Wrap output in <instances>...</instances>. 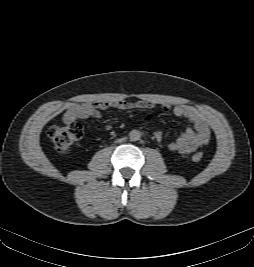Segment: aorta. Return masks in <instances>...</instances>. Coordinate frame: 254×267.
<instances>
[{"instance_id": "762f6f07", "label": "aorta", "mask_w": 254, "mask_h": 267, "mask_svg": "<svg viewBox=\"0 0 254 267\" xmlns=\"http://www.w3.org/2000/svg\"><path fill=\"white\" fill-rule=\"evenodd\" d=\"M129 137H130L131 141H138L141 137L140 131H138V130L130 131Z\"/></svg>"}]
</instances>
